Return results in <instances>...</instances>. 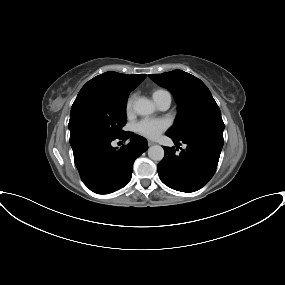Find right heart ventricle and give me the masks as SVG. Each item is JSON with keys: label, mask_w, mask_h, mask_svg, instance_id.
Masks as SVG:
<instances>
[{"label": "right heart ventricle", "mask_w": 285, "mask_h": 285, "mask_svg": "<svg viewBox=\"0 0 285 285\" xmlns=\"http://www.w3.org/2000/svg\"><path fill=\"white\" fill-rule=\"evenodd\" d=\"M164 94H169V93L164 89H157L153 91L152 96H153V99L155 100Z\"/></svg>", "instance_id": "e07e8e85"}]
</instances>
